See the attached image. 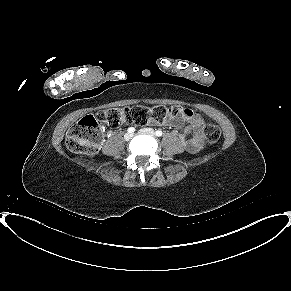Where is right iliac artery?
Segmentation results:
<instances>
[{
    "label": "right iliac artery",
    "instance_id": "1",
    "mask_svg": "<svg viewBox=\"0 0 291 291\" xmlns=\"http://www.w3.org/2000/svg\"><path fill=\"white\" fill-rule=\"evenodd\" d=\"M129 133H133L134 131H135V128L134 127H130V128H128V130H127Z\"/></svg>",
    "mask_w": 291,
    "mask_h": 291
}]
</instances>
